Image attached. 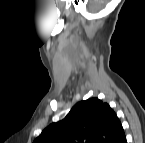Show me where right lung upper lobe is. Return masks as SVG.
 <instances>
[{"label": "right lung upper lobe", "instance_id": "obj_1", "mask_svg": "<svg viewBox=\"0 0 145 143\" xmlns=\"http://www.w3.org/2000/svg\"><path fill=\"white\" fill-rule=\"evenodd\" d=\"M34 143H126L122 125L107 103L90 98L50 124Z\"/></svg>", "mask_w": 145, "mask_h": 143}]
</instances>
